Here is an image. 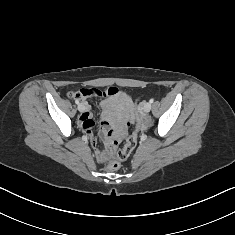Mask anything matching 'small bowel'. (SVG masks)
Returning a JSON list of instances; mask_svg holds the SVG:
<instances>
[{
  "label": "small bowel",
  "mask_w": 235,
  "mask_h": 235,
  "mask_svg": "<svg viewBox=\"0 0 235 235\" xmlns=\"http://www.w3.org/2000/svg\"><path fill=\"white\" fill-rule=\"evenodd\" d=\"M113 94L105 96L101 102V115L99 118L100 129L103 133L110 130L119 129L120 122L130 117L132 109L131 97L123 91H119L116 88L111 87ZM90 89H82L79 93V98L83 101L84 111L79 117L80 126L87 132L88 137L92 144H95V137L93 130L95 128V122L92 119V107L85 101L87 97L85 92ZM117 133L114 131L113 136L117 137Z\"/></svg>",
  "instance_id": "c3829d8e"
}]
</instances>
